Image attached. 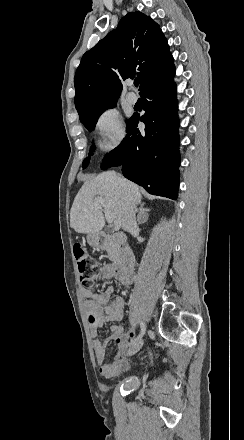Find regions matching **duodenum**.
<instances>
[{"label":"duodenum","mask_w":244,"mask_h":440,"mask_svg":"<svg viewBox=\"0 0 244 440\" xmlns=\"http://www.w3.org/2000/svg\"><path fill=\"white\" fill-rule=\"evenodd\" d=\"M93 243L102 250H109L111 248H116L119 250L120 259L119 265L121 268L127 270L128 272L134 271L136 266V256L133 252L127 251L126 240L121 235H109L106 233H96L92 237Z\"/></svg>","instance_id":"1"}]
</instances>
